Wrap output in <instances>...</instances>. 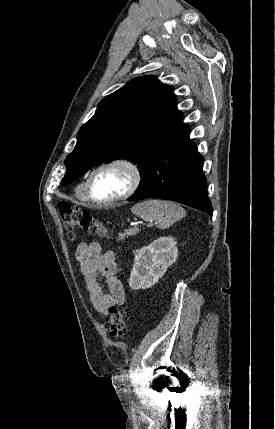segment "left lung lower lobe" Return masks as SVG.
Listing matches in <instances>:
<instances>
[{
	"instance_id": "0a47b994",
	"label": "left lung lower lobe",
	"mask_w": 275,
	"mask_h": 429,
	"mask_svg": "<svg viewBox=\"0 0 275 429\" xmlns=\"http://www.w3.org/2000/svg\"><path fill=\"white\" fill-rule=\"evenodd\" d=\"M189 135V127L181 124L175 135L153 156L128 201L167 199L205 211L212 217L202 171L204 158Z\"/></svg>"
}]
</instances>
